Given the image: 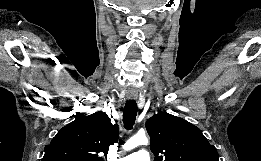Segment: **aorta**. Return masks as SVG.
I'll use <instances>...</instances> for the list:
<instances>
[{
    "label": "aorta",
    "instance_id": "aorta-1",
    "mask_svg": "<svg viewBox=\"0 0 261 161\" xmlns=\"http://www.w3.org/2000/svg\"><path fill=\"white\" fill-rule=\"evenodd\" d=\"M148 139L145 134H136L131 137L123 146L125 150H131L136 148L139 145H147Z\"/></svg>",
    "mask_w": 261,
    "mask_h": 161
}]
</instances>
